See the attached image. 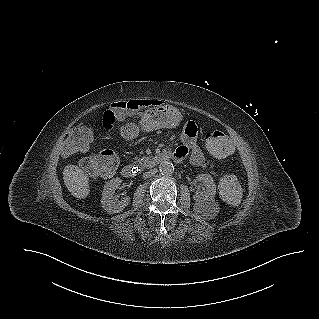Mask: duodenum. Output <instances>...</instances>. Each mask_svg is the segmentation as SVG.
<instances>
[{"mask_svg": "<svg viewBox=\"0 0 319 319\" xmlns=\"http://www.w3.org/2000/svg\"><path fill=\"white\" fill-rule=\"evenodd\" d=\"M170 159H174V154L172 152H162V153L153 155L150 157V159L147 163V167L154 168V167L158 166L159 164H161L165 161H168ZM137 172H138V168L133 164H126L122 168V174H123V176H125L127 178L135 177Z\"/></svg>", "mask_w": 319, "mask_h": 319, "instance_id": "410a0bca", "label": "duodenum"}]
</instances>
